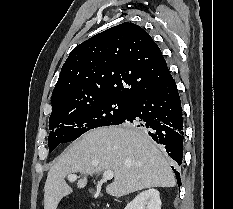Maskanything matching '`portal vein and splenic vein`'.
I'll use <instances>...</instances> for the list:
<instances>
[{"mask_svg":"<svg viewBox=\"0 0 233 209\" xmlns=\"http://www.w3.org/2000/svg\"><path fill=\"white\" fill-rule=\"evenodd\" d=\"M113 177H114L113 171H111V170L104 171V173H103L104 180H111V179H113ZM77 178L78 177L76 174L68 175V180H70V181H75Z\"/></svg>","mask_w":233,"mask_h":209,"instance_id":"obj_1","label":"portal vein and splenic vein"}]
</instances>
